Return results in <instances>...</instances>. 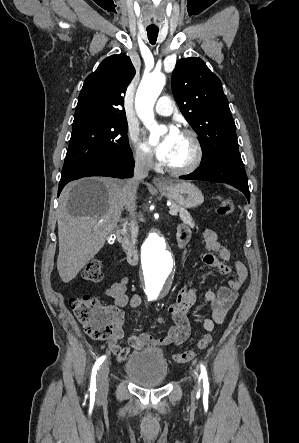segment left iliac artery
Returning a JSON list of instances; mask_svg holds the SVG:
<instances>
[{
  "instance_id": "left-iliac-artery-1",
  "label": "left iliac artery",
  "mask_w": 299,
  "mask_h": 443,
  "mask_svg": "<svg viewBox=\"0 0 299 443\" xmlns=\"http://www.w3.org/2000/svg\"><path fill=\"white\" fill-rule=\"evenodd\" d=\"M200 369H201V373H200V377L203 380V387L204 390H209V381H208V375H207V370L206 367L200 363Z\"/></svg>"
}]
</instances>
